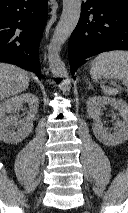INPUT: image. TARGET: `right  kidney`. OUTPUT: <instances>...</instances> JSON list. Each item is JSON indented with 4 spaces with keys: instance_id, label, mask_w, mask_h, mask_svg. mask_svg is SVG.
Wrapping results in <instances>:
<instances>
[{
    "instance_id": "1",
    "label": "right kidney",
    "mask_w": 128,
    "mask_h": 213,
    "mask_svg": "<svg viewBox=\"0 0 128 213\" xmlns=\"http://www.w3.org/2000/svg\"><path fill=\"white\" fill-rule=\"evenodd\" d=\"M25 103L29 107L27 117L18 120L12 113L19 110ZM38 108V97L32 93H23L1 102L0 140L8 144H17L23 141L32 132L33 120Z\"/></svg>"
}]
</instances>
